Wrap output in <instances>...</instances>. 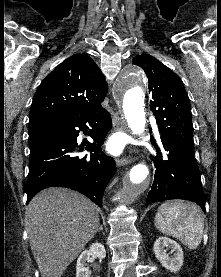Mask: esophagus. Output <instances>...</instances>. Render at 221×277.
Returning a JSON list of instances; mask_svg holds the SVG:
<instances>
[{"label": "esophagus", "mask_w": 221, "mask_h": 277, "mask_svg": "<svg viewBox=\"0 0 221 277\" xmlns=\"http://www.w3.org/2000/svg\"><path fill=\"white\" fill-rule=\"evenodd\" d=\"M112 124H113L114 131H117V130L126 131L127 130V125H126L125 121L119 117L117 112H114L112 114ZM128 163H129L128 157H122V158L116 159V164L118 167L127 165Z\"/></svg>", "instance_id": "34e87169"}]
</instances>
